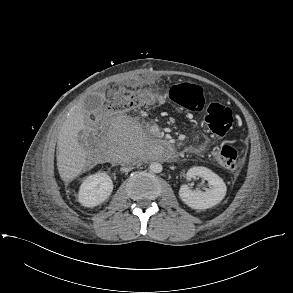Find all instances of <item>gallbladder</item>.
<instances>
[{"label":"gallbladder","mask_w":293,"mask_h":293,"mask_svg":"<svg viewBox=\"0 0 293 293\" xmlns=\"http://www.w3.org/2000/svg\"><path fill=\"white\" fill-rule=\"evenodd\" d=\"M102 104V98L98 95H89L84 101V110L86 113L95 112L100 108Z\"/></svg>","instance_id":"bac80fb5"}]
</instances>
